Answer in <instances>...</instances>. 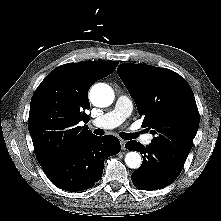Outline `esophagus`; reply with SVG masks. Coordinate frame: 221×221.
<instances>
[{
    "label": "esophagus",
    "mask_w": 221,
    "mask_h": 221,
    "mask_svg": "<svg viewBox=\"0 0 221 221\" xmlns=\"http://www.w3.org/2000/svg\"><path fill=\"white\" fill-rule=\"evenodd\" d=\"M120 143H121L122 150H125L126 141L125 140H121Z\"/></svg>",
    "instance_id": "obj_1"
}]
</instances>
